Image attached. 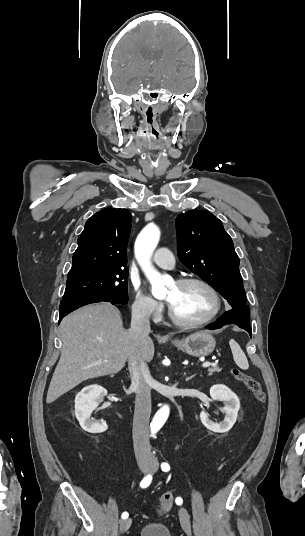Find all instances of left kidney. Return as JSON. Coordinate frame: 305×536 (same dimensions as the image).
Here are the masks:
<instances>
[{"instance_id": "obj_1", "label": "left kidney", "mask_w": 305, "mask_h": 536, "mask_svg": "<svg viewBox=\"0 0 305 536\" xmlns=\"http://www.w3.org/2000/svg\"><path fill=\"white\" fill-rule=\"evenodd\" d=\"M210 396L212 400L223 402L224 408H222V410L225 414V418L220 424H215V422L209 420L207 412L203 410L200 414L202 424H204L205 428L211 430V432H219V434L229 432L237 420L240 408L239 398H237L236 394L231 392L227 386H224V384H215V386H212V388H210Z\"/></svg>"}]
</instances>
